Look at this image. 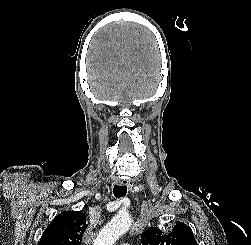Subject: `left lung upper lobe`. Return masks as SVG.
Wrapping results in <instances>:
<instances>
[{
    "instance_id": "5c2ea615",
    "label": "left lung upper lobe",
    "mask_w": 251,
    "mask_h": 245,
    "mask_svg": "<svg viewBox=\"0 0 251 245\" xmlns=\"http://www.w3.org/2000/svg\"><path fill=\"white\" fill-rule=\"evenodd\" d=\"M142 245H197L191 229L182 222H177L167 234L157 227L148 228L141 236Z\"/></svg>"
}]
</instances>
